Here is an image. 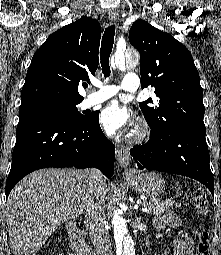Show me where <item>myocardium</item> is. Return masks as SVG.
<instances>
[{"instance_id": "1", "label": "myocardium", "mask_w": 221, "mask_h": 255, "mask_svg": "<svg viewBox=\"0 0 221 255\" xmlns=\"http://www.w3.org/2000/svg\"><path fill=\"white\" fill-rule=\"evenodd\" d=\"M149 134L148 126L145 124H137L129 133L128 138L134 142H141L147 138Z\"/></svg>"}]
</instances>
